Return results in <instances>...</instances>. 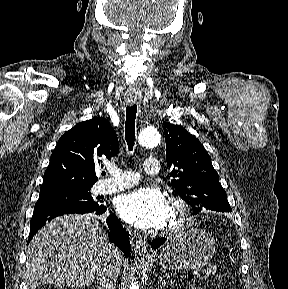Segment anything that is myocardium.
Segmentation results:
<instances>
[{"label": "myocardium", "mask_w": 288, "mask_h": 289, "mask_svg": "<svg viewBox=\"0 0 288 289\" xmlns=\"http://www.w3.org/2000/svg\"><path fill=\"white\" fill-rule=\"evenodd\" d=\"M170 205L175 217L170 222L168 231L171 234H177L187 230L191 226L192 220L190 204L183 198L173 197Z\"/></svg>", "instance_id": "f54148a6"}]
</instances>
